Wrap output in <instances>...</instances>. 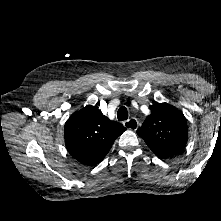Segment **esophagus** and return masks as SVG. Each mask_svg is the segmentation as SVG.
I'll return each instance as SVG.
<instances>
[{"label": "esophagus", "mask_w": 221, "mask_h": 221, "mask_svg": "<svg viewBox=\"0 0 221 221\" xmlns=\"http://www.w3.org/2000/svg\"><path fill=\"white\" fill-rule=\"evenodd\" d=\"M124 126L127 128V129H130V130H137L138 128V121L136 118H130L126 121H124Z\"/></svg>", "instance_id": "34e87169"}]
</instances>
